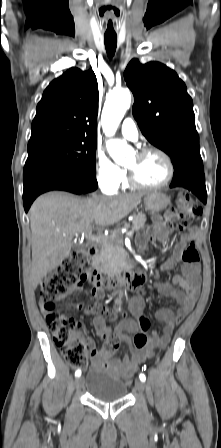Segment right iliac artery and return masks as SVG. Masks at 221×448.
I'll return each mask as SVG.
<instances>
[{
    "label": "right iliac artery",
    "instance_id": "right-iliac-artery-1",
    "mask_svg": "<svg viewBox=\"0 0 221 448\" xmlns=\"http://www.w3.org/2000/svg\"><path fill=\"white\" fill-rule=\"evenodd\" d=\"M81 375V371L80 370H77L76 372H75V376L76 377H79Z\"/></svg>",
    "mask_w": 221,
    "mask_h": 448
}]
</instances>
